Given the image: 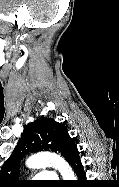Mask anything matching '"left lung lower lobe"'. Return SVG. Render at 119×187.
<instances>
[{
  "instance_id": "1",
  "label": "left lung lower lobe",
  "mask_w": 119,
  "mask_h": 187,
  "mask_svg": "<svg viewBox=\"0 0 119 187\" xmlns=\"http://www.w3.org/2000/svg\"><path fill=\"white\" fill-rule=\"evenodd\" d=\"M67 161L79 178L77 182H84L86 179V174L81 163L76 144L71 148Z\"/></svg>"
}]
</instances>
